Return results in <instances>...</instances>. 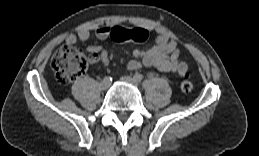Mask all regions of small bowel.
<instances>
[{"mask_svg": "<svg viewBox=\"0 0 259 156\" xmlns=\"http://www.w3.org/2000/svg\"><path fill=\"white\" fill-rule=\"evenodd\" d=\"M123 29L117 26H103L95 31V37L99 40L111 38L114 31ZM90 38V33L87 30H81L77 36L70 34L66 38L68 44H74L77 39L87 41ZM90 54V61L93 63L101 62L104 65L109 64L108 53L97 45L87 47ZM136 59L129 61L127 67L131 71H136L142 66L155 68L162 72H170L182 77L187 72V64L181 60L180 49L177 42L166 36L158 35L154 45L146 48H136L133 51Z\"/></svg>", "mask_w": 259, "mask_h": 156, "instance_id": "small-bowel-1", "label": "small bowel"}]
</instances>
